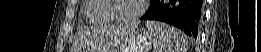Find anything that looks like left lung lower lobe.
Masks as SVG:
<instances>
[{
	"instance_id": "0a47b994",
	"label": "left lung lower lobe",
	"mask_w": 261,
	"mask_h": 52,
	"mask_svg": "<svg viewBox=\"0 0 261 52\" xmlns=\"http://www.w3.org/2000/svg\"><path fill=\"white\" fill-rule=\"evenodd\" d=\"M203 0H152L141 20H159L197 39L202 22Z\"/></svg>"
}]
</instances>
